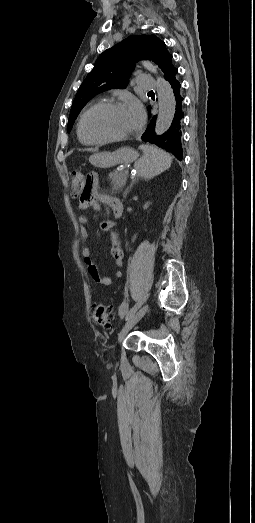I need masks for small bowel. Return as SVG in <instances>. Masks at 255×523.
Here are the masks:
<instances>
[{"mask_svg":"<svg viewBox=\"0 0 255 523\" xmlns=\"http://www.w3.org/2000/svg\"><path fill=\"white\" fill-rule=\"evenodd\" d=\"M90 181H93V178L90 179ZM110 197L106 196H96L93 193L92 186L90 188V194L87 198H81L78 201V208L80 210H85L89 206H92L93 208L99 207V202H107ZM79 221V234H80V240H81V250L80 253L84 259V261L87 264V272L92 281L96 284L102 285V286H109L112 284V279L107 276H102L99 272L95 264L91 261L90 258V249L88 246V231L86 228V224L88 222V218L85 215H80L78 218ZM114 227V223L110 220H104L100 223V229L104 232H111V254L115 260V265L119 268L115 275L116 277L120 278L122 276V270L120 267L123 265V258H124V251L122 246L120 245L118 236L114 233H112V229Z\"/></svg>","mask_w":255,"mask_h":523,"instance_id":"obj_1","label":"small bowel"}]
</instances>
